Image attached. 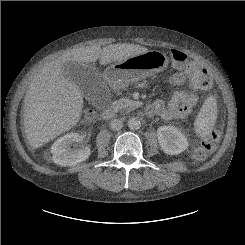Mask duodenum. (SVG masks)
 Segmentation results:
<instances>
[{
  "label": "duodenum",
  "mask_w": 245,
  "mask_h": 245,
  "mask_svg": "<svg viewBox=\"0 0 245 245\" xmlns=\"http://www.w3.org/2000/svg\"><path fill=\"white\" fill-rule=\"evenodd\" d=\"M109 81H110V85H114L115 84L114 80H109ZM115 115H116L115 111L111 110V109H105L102 112V117L105 120H111V119H113L115 117Z\"/></svg>",
  "instance_id": "duodenum-1"
}]
</instances>
